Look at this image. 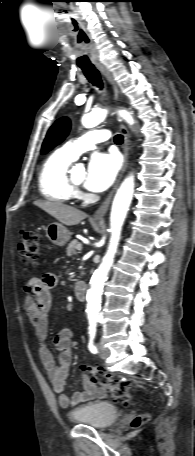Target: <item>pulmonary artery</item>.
<instances>
[{
    "mask_svg": "<svg viewBox=\"0 0 195 456\" xmlns=\"http://www.w3.org/2000/svg\"><path fill=\"white\" fill-rule=\"evenodd\" d=\"M109 139L107 130H92L81 137L65 143L61 150L71 159L76 160L83 152L92 150L97 144Z\"/></svg>",
    "mask_w": 195,
    "mask_h": 456,
    "instance_id": "e3ab8cb5",
    "label": "pulmonary artery"
}]
</instances>
